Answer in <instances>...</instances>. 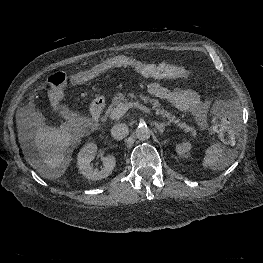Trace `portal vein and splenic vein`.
<instances>
[{"mask_svg":"<svg viewBox=\"0 0 263 263\" xmlns=\"http://www.w3.org/2000/svg\"><path fill=\"white\" fill-rule=\"evenodd\" d=\"M133 107L138 108L140 110H143L146 113H151V110L149 108H147L146 106L140 105L137 102H134V103H132V102H128V103L121 102L114 109L110 118L112 120L120 119L128 111L129 108H133Z\"/></svg>","mask_w":263,"mask_h":263,"instance_id":"1","label":"portal vein and splenic vein"}]
</instances>
